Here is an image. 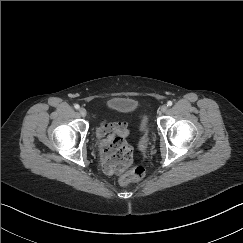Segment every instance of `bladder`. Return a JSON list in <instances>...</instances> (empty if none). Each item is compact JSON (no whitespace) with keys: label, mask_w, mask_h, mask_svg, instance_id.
<instances>
[{"label":"bladder","mask_w":243,"mask_h":243,"mask_svg":"<svg viewBox=\"0 0 243 243\" xmlns=\"http://www.w3.org/2000/svg\"><path fill=\"white\" fill-rule=\"evenodd\" d=\"M111 109L114 112L130 116L136 107V104L134 101H132L129 98H120V97H114L110 101Z\"/></svg>","instance_id":"obj_1"}]
</instances>
